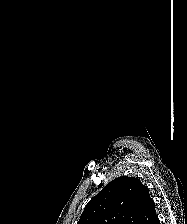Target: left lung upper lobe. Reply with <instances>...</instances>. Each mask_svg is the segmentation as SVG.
Returning <instances> with one entry per match:
<instances>
[{"label": "left lung upper lobe", "mask_w": 187, "mask_h": 224, "mask_svg": "<svg viewBox=\"0 0 187 224\" xmlns=\"http://www.w3.org/2000/svg\"><path fill=\"white\" fill-rule=\"evenodd\" d=\"M156 219L148 188L138 178L122 176L88 202L77 224H153Z\"/></svg>", "instance_id": "1"}]
</instances>
